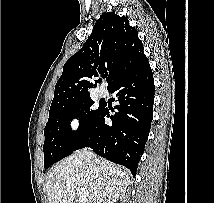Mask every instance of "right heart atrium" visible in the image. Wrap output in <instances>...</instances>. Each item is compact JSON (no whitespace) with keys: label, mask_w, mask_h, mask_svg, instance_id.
<instances>
[{"label":"right heart atrium","mask_w":214,"mask_h":203,"mask_svg":"<svg viewBox=\"0 0 214 203\" xmlns=\"http://www.w3.org/2000/svg\"><path fill=\"white\" fill-rule=\"evenodd\" d=\"M83 126V119L79 114H73L67 121V127L70 133L76 134Z\"/></svg>","instance_id":"obj_1"}]
</instances>
